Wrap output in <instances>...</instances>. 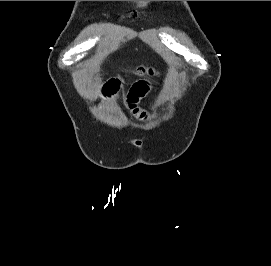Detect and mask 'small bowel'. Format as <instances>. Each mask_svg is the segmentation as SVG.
I'll return each mask as SVG.
<instances>
[{
	"label": "small bowel",
	"instance_id": "small-bowel-1",
	"mask_svg": "<svg viewBox=\"0 0 271 266\" xmlns=\"http://www.w3.org/2000/svg\"><path fill=\"white\" fill-rule=\"evenodd\" d=\"M120 88V83L116 78L109 79L100 90L102 98H111ZM150 89L149 82L142 80L134 83L125 97V105L130 112L143 119L146 112L139 107L140 100L148 93Z\"/></svg>",
	"mask_w": 271,
	"mask_h": 266
}]
</instances>
